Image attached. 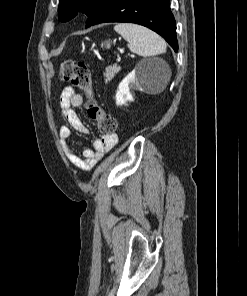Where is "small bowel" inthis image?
<instances>
[{"label": "small bowel", "mask_w": 247, "mask_h": 296, "mask_svg": "<svg viewBox=\"0 0 247 296\" xmlns=\"http://www.w3.org/2000/svg\"><path fill=\"white\" fill-rule=\"evenodd\" d=\"M82 104V95L76 92L73 87L68 86L62 90L60 94V112L69 126H61L59 136L66 156L72 165L82 171H89L102 159L105 153L117 144L118 136L113 134L112 136H103L95 139L92 143V148L84 150L81 155L77 154L71 143V128L83 134L89 132L86 125L75 112V108H79Z\"/></svg>", "instance_id": "1"}]
</instances>
